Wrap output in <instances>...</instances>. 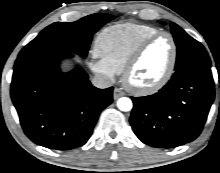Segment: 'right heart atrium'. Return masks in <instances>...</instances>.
<instances>
[{
  "mask_svg": "<svg viewBox=\"0 0 220 173\" xmlns=\"http://www.w3.org/2000/svg\"><path fill=\"white\" fill-rule=\"evenodd\" d=\"M90 68L107 80H113L116 73L109 68L101 59H93L89 63Z\"/></svg>",
  "mask_w": 220,
  "mask_h": 173,
  "instance_id": "right-heart-atrium-1",
  "label": "right heart atrium"
}]
</instances>
